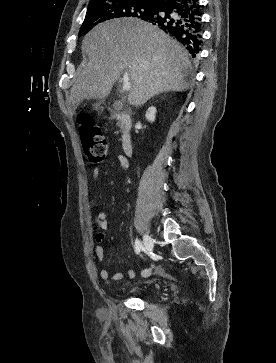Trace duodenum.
Instances as JSON below:
<instances>
[{"instance_id": "duodenum-1", "label": "duodenum", "mask_w": 276, "mask_h": 363, "mask_svg": "<svg viewBox=\"0 0 276 363\" xmlns=\"http://www.w3.org/2000/svg\"><path fill=\"white\" fill-rule=\"evenodd\" d=\"M119 120L121 127V146L127 156H131L133 152L132 128L133 117L130 111H120L114 113Z\"/></svg>"}]
</instances>
